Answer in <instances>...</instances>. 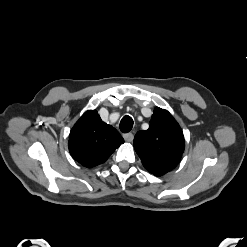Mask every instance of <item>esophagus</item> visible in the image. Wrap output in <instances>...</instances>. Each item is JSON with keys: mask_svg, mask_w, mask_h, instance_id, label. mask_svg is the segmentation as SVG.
Listing matches in <instances>:
<instances>
[{"mask_svg": "<svg viewBox=\"0 0 247 247\" xmlns=\"http://www.w3.org/2000/svg\"><path fill=\"white\" fill-rule=\"evenodd\" d=\"M123 138L126 142H133L134 135L132 133H127L123 135Z\"/></svg>", "mask_w": 247, "mask_h": 247, "instance_id": "esophagus-1", "label": "esophagus"}]
</instances>
